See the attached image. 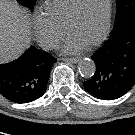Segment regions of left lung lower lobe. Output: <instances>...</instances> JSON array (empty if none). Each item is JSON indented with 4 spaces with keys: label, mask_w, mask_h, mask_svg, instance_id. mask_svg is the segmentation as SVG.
<instances>
[{
    "label": "left lung lower lobe",
    "mask_w": 135,
    "mask_h": 135,
    "mask_svg": "<svg viewBox=\"0 0 135 135\" xmlns=\"http://www.w3.org/2000/svg\"><path fill=\"white\" fill-rule=\"evenodd\" d=\"M92 59L96 64L93 77L84 81L91 95L114 100L126 94L135 84V21L126 30L110 35Z\"/></svg>",
    "instance_id": "1"
}]
</instances>
